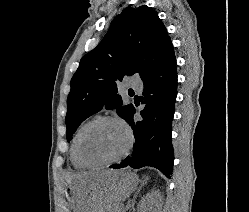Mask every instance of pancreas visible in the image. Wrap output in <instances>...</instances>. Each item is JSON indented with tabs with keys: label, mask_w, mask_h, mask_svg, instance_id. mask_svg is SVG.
I'll list each match as a JSON object with an SVG mask.
<instances>
[{
	"label": "pancreas",
	"mask_w": 249,
	"mask_h": 212,
	"mask_svg": "<svg viewBox=\"0 0 249 212\" xmlns=\"http://www.w3.org/2000/svg\"><path fill=\"white\" fill-rule=\"evenodd\" d=\"M117 210H119V208H113L111 204H106V206H103L102 212H117Z\"/></svg>",
	"instance_id": "cf45deb5"
}]
</instances>
